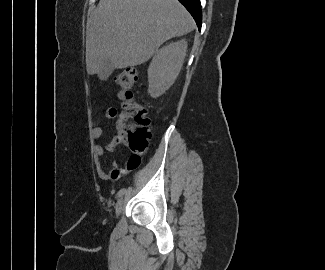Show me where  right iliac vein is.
<instances>
[{"instance_id":"right-iliac-vein-1","label":"right iliac vein","mask_w":325,"mask_h":270,"mask_svg":"<svg viewBox=\"0 0 325 270\" xmlns=\"http://www.w3.org/2000/svg\"><path fill=\"white\" fill-rule=\"evenodd\" d=\"M124 207V199L123 198H120L117 203H116V206H115V212H116V216H119L122 209Z\"/></svg>"}]
</instances>
